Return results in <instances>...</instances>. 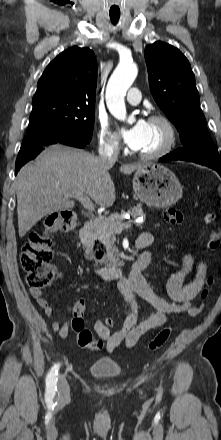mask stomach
Segmentation results:
<instances>
[{
    "instance_id": "obj_1",
    "label": "stomach",
    "mask_w": 221,
    "mask_h": 440,
    "mask_svg": "<svg viewBox=\"0 0 221 440\" xmlns=\"http://www.w3.org/2000/svg\"><path fill=\"white\" fill-rule=\"evenodd\" d=\"M133 189L142 202L156 208L169 207L182 197V186L175 173L156 163L143 164L136 170Z\"/></svg>"
}]
</instances>
